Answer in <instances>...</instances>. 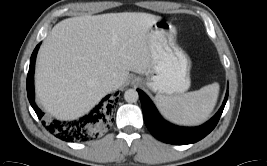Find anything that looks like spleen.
<instances>
[{
  "label": "spleen",
  "mask_w": 267,
  "mask_h": 166,
  "mask_svg": "<svg viewBox=\"0 0 267 166\" xmlns=\"http://www.w3.org/2000/svg\"><path fill=\"white\" fill-rule=\"evenodd\" d=\"M218 94L219 84L213 83L180 96L157 95L156 103L167 119L179 124L196 125L209 117Z\"/></svg>",
  "instance_id": "spleen-1"
}]
</instances>
